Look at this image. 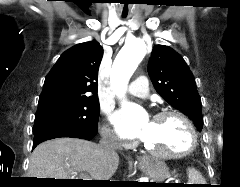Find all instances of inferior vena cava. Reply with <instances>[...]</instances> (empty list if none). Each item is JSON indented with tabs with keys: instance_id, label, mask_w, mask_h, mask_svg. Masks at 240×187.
<instances>
[{
	"instance_id": "obj_1",
	"label": "inferior vena cava",
	"mask_w": 240,
	"mask_h": 187,
	"mask_svg": "<svg viewBox=\"0 0 240 187\" xmlns=\"http://www.w3.org/2000/svg\"><path fill=\"white\" fill-rule=\"evenodd\" d=\"M99 147L101 148L102 152L106 155H115L116 150L120 147L115 136L110 133H105L100 140Z\"/></svg>"
}]
</instances>
